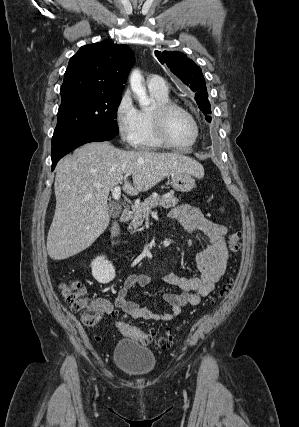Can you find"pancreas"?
I'll return each instance as SVG.
<instances>
[{
	"label": "pancreas",
	"instance_id": "pancreas-1",
	"mask_svg": "<svg viewBox=\"0 0 299 427\" xmlns=\"http://www.w3.org/2000/svg\"><path fill=\"white\" fill-rule=\"evenodd\" d=\"M178 202L179 200L174 197L173 193L166 194L162 198H159L157 194L149 196L144 202L133 208L132 221L128 229L131 233H135L138 227L143 224L145 217L150 214L151 210L156 206L169 209L175 207Z\"/></svg>",
	"mask_w": 299,
	"mask_h": 427
}]
</instances>
